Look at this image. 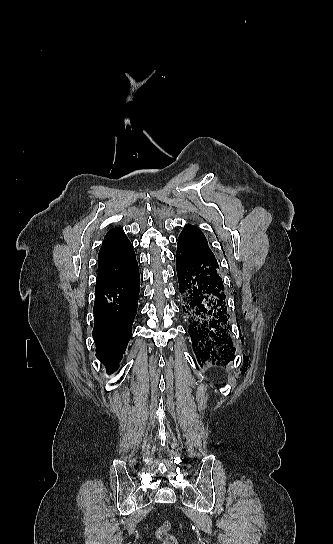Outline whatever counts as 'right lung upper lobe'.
Returning a JSON list of instances; mask_svg holds the SVG:
<instances>
[{"label": "right lung upper lobe", "mask_w": 333, "mask_h": 544, "mask_svg": "<svg viewBox=\"0 0 333 544\" xmlns=\"http://www.w3.org/2000/svg\"><path fill=\"white\" fill-rule=\"evenodd\" d=\"M135 262L136 256L133 246L124 231L119 227L112 228L106 234L98 254L96 287L117 279L128 271Z\"/></svg>", "instance_id": "obj_1"}]
</instances>
